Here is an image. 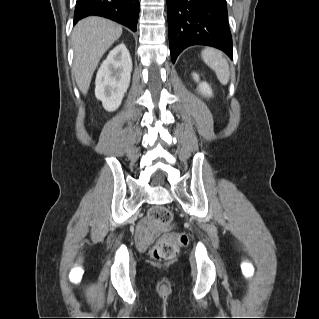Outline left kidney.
<instances>
[{
    "mask_svg": "<svg viewBox=\"0 0 319 319\" xmlns=\"http://www.w3.org/2000/svg\"><path fill=\"white\" fill-rule=\"evenodd\" d=\"M193 78L195 81L197 82L199 81V76L196 73H193ZM198 90L204 96H207V97L212 96V90L206 82L199 83Z\"/></svg>",
    "mask_w": 319,
    "mask_h": 319,
    "instance_id": "5707ae66",
    "label": "left kidney"
}]
</instances>
